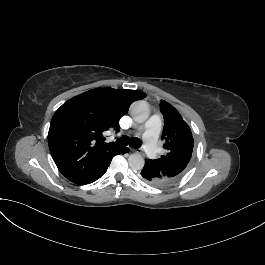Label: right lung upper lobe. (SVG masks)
Listing matches in <instances>:
<instances>
[{
	"instance_id": "obj_1",
	"label": "right lung upper lobe",
	"mask_w": 265,
	"mask_h": 265,
	"mask_svg": "<svg viewBox=\"0 0 265 265\" xmlns=\"http://www.w3.org/2000/svg\"><path fill=\"white\" fill-rule=\"evenodd\" d=\"M146 97L137 90L96 88L75 96L55 112L48 133L52 158L60 172L76 184L97 180L124 148L102 143L130 104Z\"/></svg>"
}]
</instances>
